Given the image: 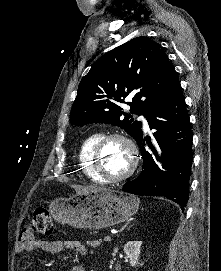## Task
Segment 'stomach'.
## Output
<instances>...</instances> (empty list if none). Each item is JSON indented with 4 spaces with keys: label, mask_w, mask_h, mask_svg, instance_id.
Returning a JSON list of instances; mask_svg holds the SVG:
<instances>
[{
    "label": "stomach",
    "mask_w": 221,
    "mask_h": 271,
    "mask_svg": "<svg viewBox=\"0 0 221 271\" xmlns=\"http://www.w3.org/2000/svg\"><path fill=\"white\" fill-rule=\"evenodd\" d=\"M139 203L137 195L115 187L110 191H90L88 195L79 197H55L50 211L56 221L61 223L79 229H101L132 217L137 213Z\"/></svg>",
    "instance_id": "0dacf381"
}]
</instances>
